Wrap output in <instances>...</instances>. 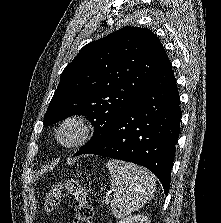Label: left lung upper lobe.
Returning <instances> with one entry per match:
<instances>
[{"label":"left lung upper lobe","mask_w":221,"mask_h":223,"mask_svg":"<svg viewBox=\"0 0 221 223\" xmlns=\"http://www.w3.org/2000/svg\"><path fill=\"white\" fill-rule=\"evenodd\" d=\"M166 59L159 38L147 28L126 26L85 45L62 72L44 126L71 115L89 117L94 135L74 154L80 155L111 131Z\"/></svg>","instance_id":"left-lung-upper-lobe-1"}]
</instances>
